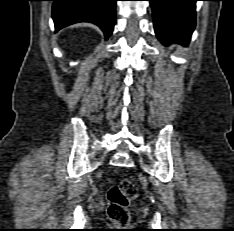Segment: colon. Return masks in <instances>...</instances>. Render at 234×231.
I'll return each instance as SVG.
<instances>
[{"mask_svg": "<svg viewBox=\"0 0 234 231\" xmlns=\"http://www.w3.org/2000/svg\"><path fill=\"white\" fill-rule=\"evenodd\" d=\"M137 196V188L129 179L121 180L107 193V215L119 227L125 228L130 222L128 207Z\"/></svg>", "mask_w": 234, "mask_h": 231, "instance_id": "colon-1", "label": "colon"}]
</instances>
